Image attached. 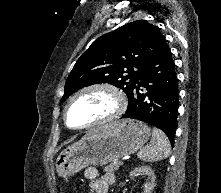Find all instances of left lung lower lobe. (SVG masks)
Here are the masks:
<instances>
[{"label": "left lung lower lobe", "instance_id": "1", "mask_svg": "<svg viewBox=\"0 0 221 193\" xmlns=\"http://www.w3.org/2000/svg\"><path fill=\"white\" fill-rule=\"evenodd\" d=\"M177 81L175 63L166 44L161 53L147 63L138 75L128 98L127 111L122 117L158 127L173 146L179 107Z\"/></svg>", "mask_w": 221, "mask_h": 193}]
</instances>
